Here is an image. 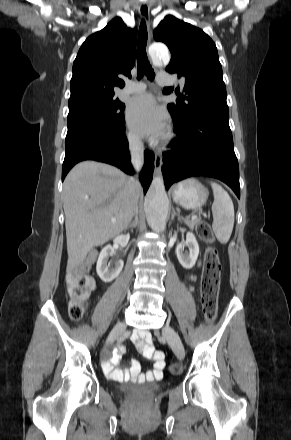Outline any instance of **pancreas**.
Masks as SVG:
<instances>
[{
    "label": "pancreas",
    "mask_w": 291,
    "mask_h": 440,
    "mask_svg": "<svg viewBox=\"0 0 291 440\" xmlns=\"http://www.w3.org/2000/svg\"><path fill=\"white\" fill-rule=\"evenodd\" d=\"M185 224L190 228L193 229L195 226H197L201 220L196 218V219H184Z\"/></svg>",
    "instance_id": "obj_1"
}]
</instances>
